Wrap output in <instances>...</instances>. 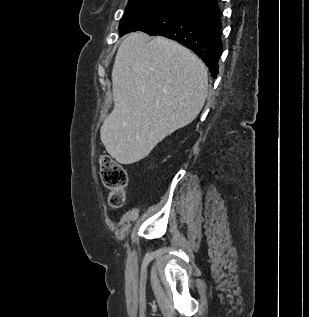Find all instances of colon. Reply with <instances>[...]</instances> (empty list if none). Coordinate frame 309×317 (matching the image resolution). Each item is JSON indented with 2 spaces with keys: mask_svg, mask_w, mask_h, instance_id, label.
<instances>
[{
  "mask_svg": "<svg viewBox=\"0 0 309 317\" xmlns=\"http://www.w3.org/2000/svg\"><path fill=\"white\" fill-rule=\"evenodd\" d=\"M99 163L102 182L110 190L109 204L113 208H119L126 198L127 172L122 165L106 155L100 157Z\"/></svg>",
  "mask_w": 309,
  "mask_h": 317,
  "instance_id": "1",
  "label": "colon"
}]
</instances>
